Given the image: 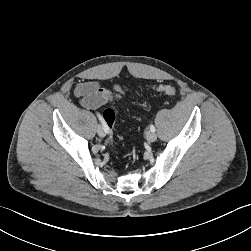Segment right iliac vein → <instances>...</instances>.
<instances>
[{
    "mask_svg": "<svg viewBox=\"0 0 251 251\" xmlns=\"http://www.w3.org/2000/svg\"><path fill=\"white\" fill-rule=\"evenodd\" d=\"M97 133L100 137H105V135H106L105 130L101 125H98Z\"/></svg>",
    "mask_w": 251,
    "mask_h": 251,
    "instance_id": "63e3f726",
    "label": "right iliac vein"
}]
</instances>
